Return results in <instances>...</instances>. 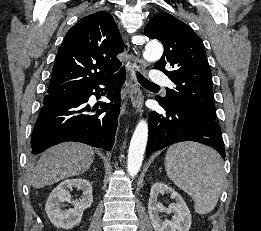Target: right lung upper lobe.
I'll return each mask as SVG.
<instances>
[{
    "instance_id": "obj_1",
    "label": "right lung upper lobe",
    "mask_w": 261,
    "mask_h": 231,
    "mask_svg": "<svg viewBox=\"0 0 261 231\" xmlns=\"http://www.w3.org/2000/svg\"><path fill=\"white\" fill-rule=\"evenodd\" d=\"M123 49L118 27L109 13L82 18L67 32L58 50L48 95H78L113 77L121 67L116 55Z\"/></svg>"
}]
</instances>
